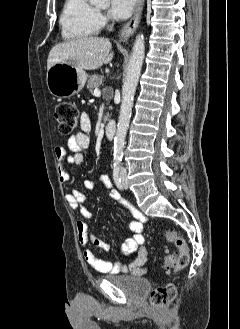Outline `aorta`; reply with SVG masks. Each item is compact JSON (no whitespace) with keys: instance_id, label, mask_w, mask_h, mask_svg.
Returning a JSON list of instances; mask_svg holds the SVG:
<instances>
[{"instance_id":"762f6f07","label":"aorta","mask_w":240,"mask_h":329,"mask_svg":"<svg viewBox=\"0 0 240 329\" xmlns=\"http://www.w3.org/2000/svg\"><path fill=\"white\" fill-rule=\"evenodd\" d=\"M90 2L102 7H108L110 4V0H90ZM144 52V37L139 34L134 42L126 78L122 88V104L120 107L117 131L114 138L113 161L115 165H119L122 161L127 129L132 113L134 95L143 65Z\"/></svg>"}]
</instances>
